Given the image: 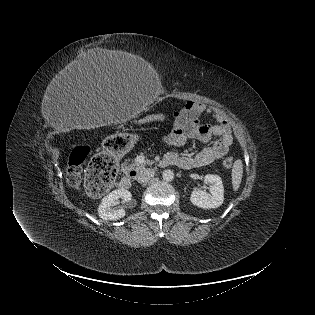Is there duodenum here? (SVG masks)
Listing matches in <instances>:
<instances>
[{"label":"duodenum","instance_id":"duodenum-1","mask_svg":"<svg viewBox=\"0 0 315 315\" xmlns=\"http://www.w3.org/2000/svg\"><path fill=\"white\" fill-rule=\"evenodd\" d=\"M170 164H171L170 160L166 158L161 161L162 166H167ZM135 175H136V172L133 170L125 172V174L118 181L117 186L123 189L129 188L131 186V180Z\"/></svg>","mask_w":315,"mask_h":315}]
</instances>
